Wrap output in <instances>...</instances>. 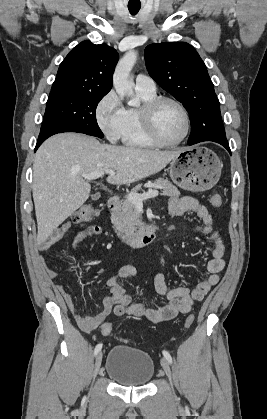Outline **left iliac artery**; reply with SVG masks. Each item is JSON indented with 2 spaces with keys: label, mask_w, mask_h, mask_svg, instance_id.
<instances>
[{
  "label": "left iliac artery",
  "mask_w": 267,
  "mask_h": 419,
  "mask_svg": "<svg viewBox=\"0 0 267 419\" xmlns=\"http://www.w3.org/2000/svg\"><path fill=\"white\" fill-rule=\"evenodd\" d=\"M163 355H164V357L166 358V360L170 363V364H172V357H171V355L169 354V352H167V351H163Z\"/></svg>",
  "instance_id": "left-iliac-artery-1"
}]
</instances>
